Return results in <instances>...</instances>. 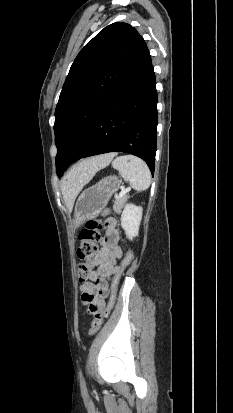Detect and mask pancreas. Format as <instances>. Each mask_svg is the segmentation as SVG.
<instances>
[{
    "label": "pancreas",
    "mask_w": 233,
    "mask_h": 413,
    "mask_svg": "<svg viewBox=\"0 0 233 413\" xmlns=\"http://www.w3.org/2000/svg\"><path fill=\"white\" fill-rule=\"evenodd\" d=\"M126 200H127V196H123L115 200L114 205H113V210L115 213L119 214L121 212Z\"/></svg>",
    "instance_id": "obj_1"
}]
</instances>
